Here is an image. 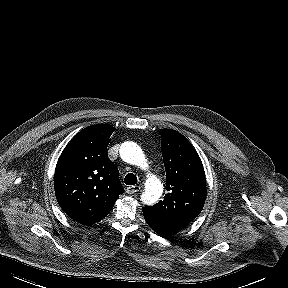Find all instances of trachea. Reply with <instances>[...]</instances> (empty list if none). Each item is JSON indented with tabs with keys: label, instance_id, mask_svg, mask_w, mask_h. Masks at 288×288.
Returning <instances> with one entry per match:
<instances>
[{
	"label": "trachea",
	"instance_id": "trachea-1",
	"mask_svg": "<svg viewBox=\"0 0 288 288\" xmlns=\"http://www.w3.org/2000/svg\"><path fill=\"white\" fill-rule=\"evenodd\" d=\"M124 183L126 185H135L137 184V177L133 173H128L124 178Z\"/></svg>",
	"mask_w": 288,
	"mask_h": 288
}]
</instances>
